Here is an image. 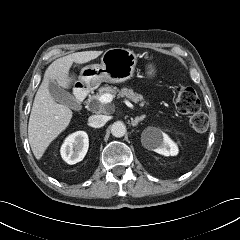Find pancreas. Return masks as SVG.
Masks as SVG:
<instances>
[{"label": "pancreas", "instance_id": "obj_1", "mask_svg": "<svg viewBox=\"0 0 240 240\" xmlns=\"http://www.w3.org/2000/svg\"><path fill=\"white\" fill-rule=\"evenodd\" d=\"M106 93L111 94L113 97H115L116 94L118 93V97H127L134 103L140 102V106H144L145 104H147L146 101H144L143 96L141 94L134 92L132 89L123 88L121 90H118L116 87L112 86H105L99 88L98 93L92 96L90 99L94 100L98 107L102 108L103 104H99L98 99L101 95Z\"/></svg>", "mask_w": 240, "mask_h": 240}]
</instances>
